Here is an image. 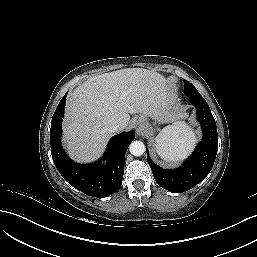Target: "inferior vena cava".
Wrapping results in <instances>:
<instances>
[{
	"label": "inferior vena cava",
	"instance_id": "1",
	"mask_svg": "<svg viewBox=\"0 0 257 257\" xmlns=\"http://www.w3.org/2000/svg\"><path fill=\"white\" fill-rule=\"evenodd\" d=\"M120 129H121V125H120V124H117V123L112 124V125L109 127V131H110L111 133H115V132L119 131Z\"/></svg>",
	"mask_w": 257,
	"mask_h": 257
}]
</instances>
